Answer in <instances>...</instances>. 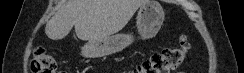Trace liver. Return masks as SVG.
Returning a JSON list of instances; mask_svg holds the SVG:
<instances>
[{
  "instance_id": "liver-1",
  "label": "liver",
  "mask_w": 244,
  "mask_h": 73,
  "mask_svg": "<svg viewBox=\"0 0 244 73\" xmlns=\"http://www.w3.org/2000/svg\"><path fill=\"white\" fill-rule=\"evenodd\" d=\"M148 0H67L46 24L52 40L65 38L75 28L81 40H102L125 27Z\"/></svg>"
}]
</instances>
